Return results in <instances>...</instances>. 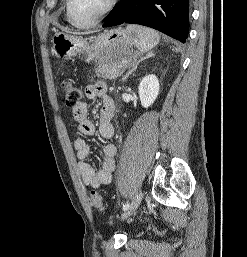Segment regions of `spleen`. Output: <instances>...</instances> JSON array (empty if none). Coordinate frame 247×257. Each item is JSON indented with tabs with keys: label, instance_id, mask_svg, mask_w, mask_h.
Wrapping results in <instances>:
<instances>
[{
	"label": "spleen",
	"instance_id": "3e777b00",
	"mask_svg": "<svg viewBox=\"0 0 247 257\" xmlns=\"http://www.w3.org/2000/svg\"><path fill=\"white\" fill-rule=\"evenodd\" d=\"M127 29L134 35L135 45L141 52L149 51L159 43L160 36L153 29L139 25H128Z\"/></svg>",
	"mask_w": 247,
	"mask_h": 257
}]
</instances>
